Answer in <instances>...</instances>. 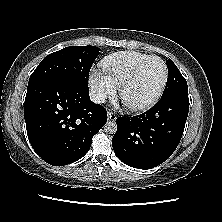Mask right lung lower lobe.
I'll return each instance as SVG.
<instances>
[{
    "instance_id": "98d812e1",
    "label": "right lung lower lobe",
    "mask_w": 222,
    "mask_h": 222,
    "mask_svg": "<svg viewBox=\"0 0 222 222\" xmlns=\"http://www.w3.org/2000/svg\"><path fill=\"white\" fill-rule=\"evenodd\" d=\"M24 117L33 149L54 166L81 159L107 122L106 110L90 100L88 86L64 80L28 87Z\"/></svg>"
}]
</instances>
